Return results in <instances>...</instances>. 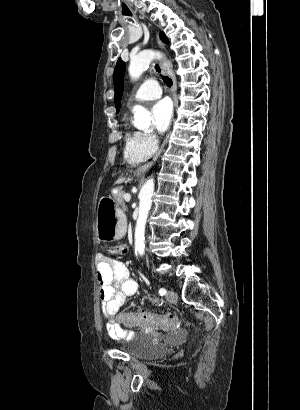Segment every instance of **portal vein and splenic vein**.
Wrapping results in <instances>:
<instances>
[{"mask_svg": "<svg viewBox=\"0 0 300 410\" xmlns=\"http://www.w3.org/2000/svg\"><path fill=\"white\" fill-rule=\"evenodd\" d=\"M124 199H125L126 202H129L130 199H131V195H130L129 193H126V194L124 195Z\"/></svg>", "mask_w": 300, "mask_h": 410, "instance_id": "1", "label": "portal vein and splenic vein"}]
</instances>
